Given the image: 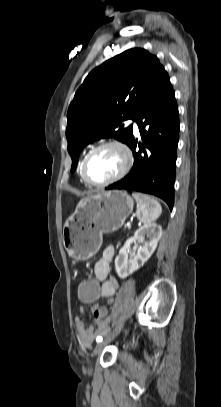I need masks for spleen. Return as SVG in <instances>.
<instances>
[{
  "mask_svg": "<svg viewBox=\"0 0 221 407\" xmlns=\"http://www.w3.org/2000/svg\"><path fill=\"white\" fill-rule=\"evenodd\" d=\"M132 197L136 200L137 203V218L143 224H150L151 222L158 219V217L161 215V205L151 196L134 192L132 193Z\"/></svg>",
  "mask_w": 221,
  "mask_h": 407,
  "instance_id": "spleen-1",
  "label": "spleen"
}]
</instances>
